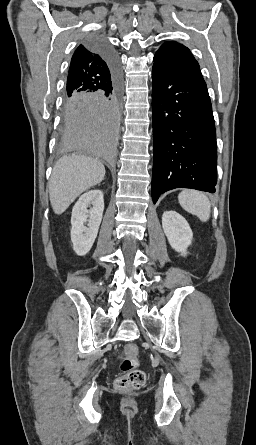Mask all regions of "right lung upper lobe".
<instances>
[{
    "instance_id": "cb5924a9",
    "label": "right lung upper lobe",
    "mask_w": 256,
    "mask_h": 445,
    "mask_svg": "<svg viewBox=\"0 0 256 445\" xmlns=\"http://www.w3.org/2000/svg\"><path fill=\"white\" fill-rule=\"evenodd\" d=\"M110 79L108 64L99 50L80 44L71 59L65 98L101 90Z\"/></svg>"
}]
</instances>
